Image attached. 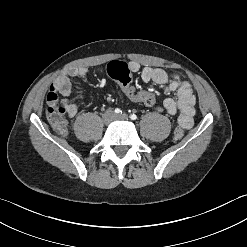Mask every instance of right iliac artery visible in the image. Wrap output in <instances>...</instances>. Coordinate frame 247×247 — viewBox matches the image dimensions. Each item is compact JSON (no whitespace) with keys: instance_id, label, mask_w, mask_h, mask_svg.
<instances>
[{"instance_id":"1","label":"right iliac artery","mask_w":247,"mask_h":247,"mask_svg":"<svg viewBox=\"0 0 247 247\" xmlns=\"http://www.w3.org/2000/svg\"><path fill=\"white\" fill-rule=\"evenodd\" d=\"M116 114H122V111L119 108H116L114 111Z\"/></svg>"}]
</instances>
